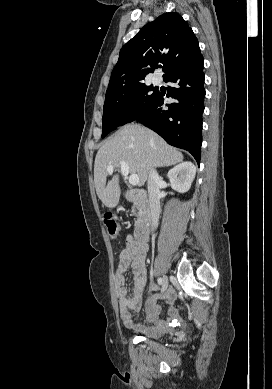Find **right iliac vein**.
<instances>
[{
    "label": "right iliac vein",
    "mask_w": 272,
    "mask_h": 389,
    "mask_svg": "<svg viewBox=\"0 0 272 389\" xmlns=\"http://www.w3.org/2000/svg\"><path fill=\"white\" fill-rule=\"evenodd\" d=\"M163 282H162V291H165L168 287V277L167 276H163Z\"/></svg>",
    "instance_id": "right-iliac-vein-1"
}]
</instances>
